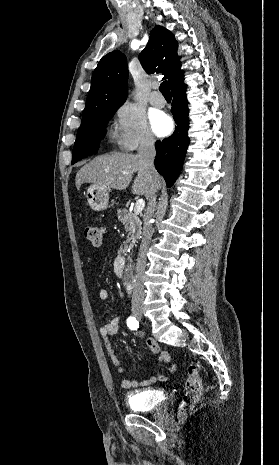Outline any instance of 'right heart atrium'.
Masks as SVG:
<instances>
[{
	"label": "right heart atrium",
	"instance_id": "right-heart-atrium-1",
	"mask_svg": "<svg viewBox=\"0 0 279 465\" xmlns=\"http://www.w3.org/2000/svg\"><path fill=\"white\" fill-rule=\"evenodd\" d=\"M110 134L112 141L126 151L151 147L155 142L144 115L130 104L116 109Z\"/></svg>",
	"mask_w": 279,
	"mask_h": 465
}]
</instances>
